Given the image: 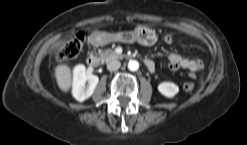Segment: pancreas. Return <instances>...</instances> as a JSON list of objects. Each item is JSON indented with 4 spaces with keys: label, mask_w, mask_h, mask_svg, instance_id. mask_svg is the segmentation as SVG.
<instances>
[{
    "label": "pancreas",
    "mask_w": 247,
    "mask_h": 145,
    "mask_svg": "<svg viewBox=\"0 0 247 145\" xmlns=\"http://www.w3.org/2000/svg\"><path fill=\"white\" fill-rule=\"evenodd\" d=\"M99 56H100V60L102 62H109L112 59L120 58V56L115 51H113L112 49H106L104 51H101L99 53Z\"/></svg>",
    "instance_id": "obj_1"
}]
</instances>
